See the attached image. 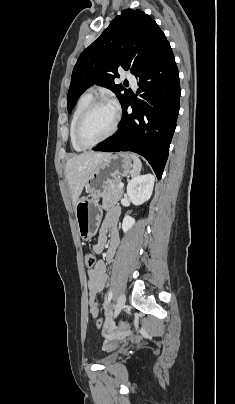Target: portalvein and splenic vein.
<instances>
[{
	"instance_id": "obj_1",
	"label": "portal vein and splenic vein",
	"mask_w": 235,
	"mask_h": 404,
	"mask_svg": "<svg viewBox=\"0 0 235 404\" xmlns=\"http://www.w3.org/2000/svg\"><path fill=\"white\" fill-rule=\"evenodd\" d=\"M119 187H120V188H123V187H124V184H123V183H120V184H119Z\"/></svg>"
}]
</instances>
